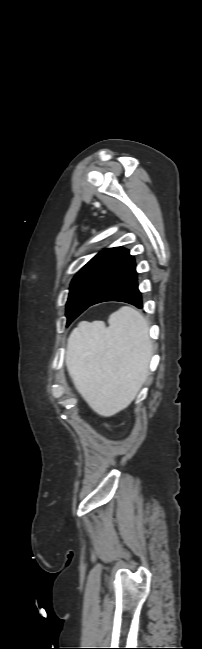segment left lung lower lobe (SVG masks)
<instances>
[{"label":"left lung lower lobe","instance_id":"obj_1","mask_svg":"<svg viewBox=\"0 0 202 649\" xmlns=\"http://www.w3.org/2000/svg\"><path fill=\"white\" fill-rule=\"evenodd\" d=\"M106 301L127 302L139 309L143 308L142 294L138 289L136 263L130 254L99 293L87 304V308Z\"/></svg>","mask_w":202,"mask_h":649}]
</instances>
